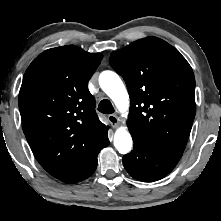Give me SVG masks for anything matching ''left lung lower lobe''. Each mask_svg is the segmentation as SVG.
Segmentation results:
<instances>
[{"mask_svg": "<svg viewBox=\"0 0 221 221\" xmlns=\"http://www.w3.org/2000/svg\"><path fill=\"white\" fill-rule=\"evenodd\" d=\"M130 131V130H129ZM134 147L123 157L126 171L137 180L153 182L169 174L180 160L183 152L153 146L130 131Z\"/></svg>", "mask_w": 221, "mask_h": 221, "instance_id": "1", "label": "left lung lower lobe"}]
</instances>
